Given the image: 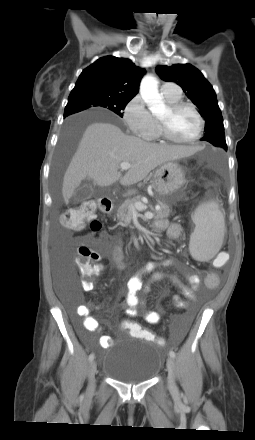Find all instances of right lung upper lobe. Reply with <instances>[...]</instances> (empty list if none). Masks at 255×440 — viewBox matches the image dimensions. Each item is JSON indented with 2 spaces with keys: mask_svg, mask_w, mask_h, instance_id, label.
Returning a JSON list of instances; mask_svg holds the SVG:
<instances>
[{
  "mask_svg": "<svg viewBox=\"0 0 255 440\" xmlns=\"http://www.w3.org/2000/svg\"><path fill=\"white\" fill-rule=\"evenodd\" d=\"M144 74L145 70L129 59L105 56L82 71L71 92H104L132 99Z\"/></svg>",
  "mask_w": 255,
  "mask_h": 440,
  "instance_id": "cb5924a9",
  "label": "right lung upper lobe"
}]
</instances>
